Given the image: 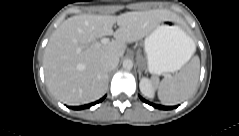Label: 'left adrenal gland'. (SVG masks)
I'll use <instances>...</instances> for the list:
<instances>
[{"instance_id":"1","label":"left adrenal gland","mask_w":239,"mask_h":136,"mask_svg":"<svg viewBox=\"0 0 239 136\" xmlns=\"http://www.w3.org/2000/svg\"><path fill=\"white\" fill-rule=\"evenodd\" d=\"M141 71H142V69L139 66V68H138L139 78L141 77Z\"/></svg>"}]
</instances>
